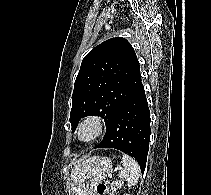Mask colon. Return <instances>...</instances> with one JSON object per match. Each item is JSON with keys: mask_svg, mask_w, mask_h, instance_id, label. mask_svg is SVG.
Returning a JSON list of instances; mask_svg holds the SVG:
<instances>
[{"mask_svg": "<svg viewBox=\"0 0 211 195\" xmlns=\"http://www.w3.org/2000/svg\"><path fill=\"white\" fill-rule=\"evenodd\" d=\"M96 192L98 195H113L109 187L105 183H99L96 186Z\"/></svg>", "mask_w": 211, "mask_h": 195, "instance_id": "1", "label": "colon"}]
</instances>
